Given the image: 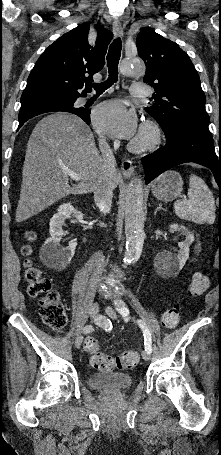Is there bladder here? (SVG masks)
<instances>
[{
    "label": "bladder",
    "instance_id": "1",
    "mask_svg": "<svg viewBox=\"0 0 221 455\" xmlns=\"http://www.w3.org/2000/svg\"><path fill=\"white\" fill-rule=\"evenodd\" d=\"M133 383L132 376L128 373H93L88 377L91 389L105 392H120L128 390Z\"/></svg>",
    "mask_w": 221,
    "mask_h": 455
}]
</instances>
